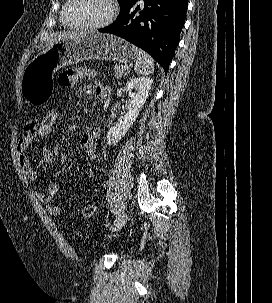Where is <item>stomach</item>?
I'll list each match as a JSON object with an SVG mask.
<instances>
[{"label":"stomach","mask_w":272,"mask_h":303,"mask_svg":"<svg viewBox=\"0 0 272 303\" xmlns=\"http://www.w3.org/2000/svg\"><path fill=\"white\" fill-rule=\"evenodd\" d=\"M87 59L129 63L136 60L133 47L114 35L87 32L47 46L26 66L21 92L27 103L38 105L52 93L53 75L61 68Z\"/></svg>","instance_id":"1"}]
</instances>
